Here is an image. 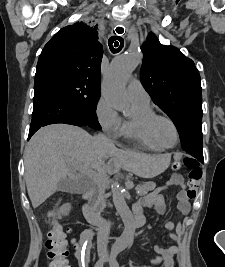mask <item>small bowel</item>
I'll return each instance as SVG.
<instances>
[{
    "label": "small bowel",
    "mask_w": 225,
    "mask_h": 267,
    "mask_svg": "<svg viewBox=\"0 0 225 267\" xmlns=\"http://www.w3.org/2000/svg\"><path fill=\"white\" fill-rule=\"evenodd\" d=\"M168 188H178V204L177 208L182 213H187L189 211V200L188 195L185 190V184L182 176L173 175L162 189H156L146 195L138 204L135 205V210L137 214L142 216L144 219V212L148 209H153L158 212H165L167 210L168 204L162 194V190ZM165 228L169 232V237L175 243L180 239L181 226L177 227L171 221L165 223ZM175 230V231H174ZM90 237V232L85 231L81 236V243L75 248V256L80 261L85 262L88 260L89 256L86 251L87 240ZM157 255L151 259V264L156 267H173V257L177 253L178 248L175 245L169 247H161L156 245L154 247ZM150 267V266H142Z\"/></svg>",
    "instance_id": "obj_1"
}]
</instances>
